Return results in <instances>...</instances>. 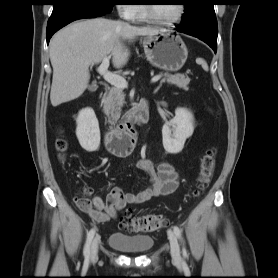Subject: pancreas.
I'll use <instances>...</instances> for the list:
<instances>
[{
	"instance_id": "cf45deb5",
	"label": "pancreas",
	"mask_w": 278,
	"mask_h": 278,
	"mask_svg": "<svg viewBox=\"0 0 278 278\" xmlns=\"http://www.w3.org/2000/svg\"><path fill=\"white\" fill-rule=\"evenodd\" d=\"M163 82H167L176 85L179 88L187 90L190 79L183 74H165V78L162 79L161 83ZM124 98L125 95L123 93V90L120 88L112 87L106 92V95L104 96V99L102 101L103 109L105 114L112 120H118L120 118L121 108L124 105Z\"/></svg>"
}]
</instances>
